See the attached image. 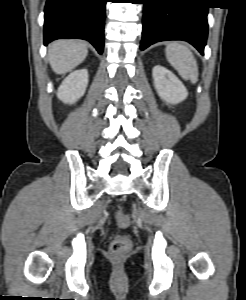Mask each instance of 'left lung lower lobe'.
<instances>
[{
	"mask_svg": "<svg viewBox=\"0 0 246 300\" xmlns=\"http://www.w3.org/2000/svg\"><path fill=\"white\" fill-rule=\"evenodd\" d=\"M141 50L167 40H184L202 55L207 40L208 6L204 0H143Z\"/></svg>",
	"mask_w": 246,
	"mask_h": 300,
	"instance_id": "0a47b994",
	"label": "left lung lower lobe"
}]
</instances>
